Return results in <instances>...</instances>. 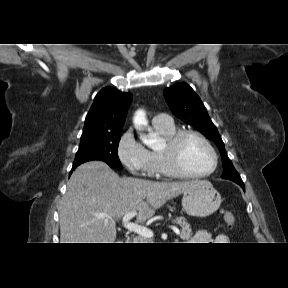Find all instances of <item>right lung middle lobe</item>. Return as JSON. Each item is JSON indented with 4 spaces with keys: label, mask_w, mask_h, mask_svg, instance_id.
Listing matches in <instances>:
<instances>
[{
    "label": "right lung middle lobe",
    "mask_w": 288,
    "mask_h": 288,
    "mask_svg": "<svg viewBox=\"0 0 288 288\" xmlns=\"http://www.w3.org/2000/svg\"><path fill=\"white\" fill-rule=\"evenodd\" d=\"M120 135L121 132H117L98 138L81 140L72 168H76L87 161L101 160L110 167L122 169L118 157Z\"/></svg>",
    "instance_id": "1"
}]
</instances>
